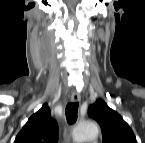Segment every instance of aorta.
I'll return each mask as SVG.
<instances>
[{"label": "aorta", "mask_w": 145, "mask_h": 143, "mask_svg": "<svg viewBox=\"0 0 145 143\" xmlns=\"http://www.w3.org/2000/svg\"><path fill=\"white\" fill-rule=\"evenodd\" d=\"M98 126L91 121L80 123L74 130L73 137L77 143L93 140L98 136Z\"/></svg>", "instance_id": "762f6f07"}]
</instances>
